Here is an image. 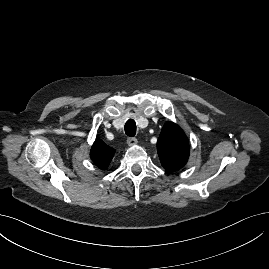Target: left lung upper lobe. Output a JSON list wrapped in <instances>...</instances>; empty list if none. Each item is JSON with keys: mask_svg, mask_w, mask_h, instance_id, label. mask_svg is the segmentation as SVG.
Masks as SVG:
<instances>
[{"mask_svg": "<svg viewBox=\"0 0 269 269\" xmlns=\"http://www.w3.org/2000/svg\"><path fill=\"white\" fill-rule=\"evenodd\" d=\"M157 152L167 171H177L187 162L189 143L183 130L173 122H167L157 141Z\"/></svg>", "mask_w": 269, "mask_h": 269, "instance_id": "obj_1", "label": "left lung upper lobe"}]
</instances>
